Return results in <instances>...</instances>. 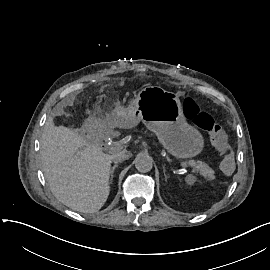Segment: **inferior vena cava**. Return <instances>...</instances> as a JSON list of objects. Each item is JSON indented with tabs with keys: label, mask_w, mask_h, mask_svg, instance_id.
I'll return each mask as SVG.
<instances>
[{
	"label": "inferior vena cava",
	"mask_w": 270,
	"mask_h": 270,
	"mask_svg": "<svg viewBox=\"0 0 270 270\" xmlns=\"http://www.w3.org/2000/svg\"><path fill=\"white\" fill-rule=\"evenodd\" d=\"M128 158H129V154L127 153L126 150H123L119 153L113 154L111 159L114 163H119L124 160H127Z\"/></svg>",
	"instance_id": "obj_1"
}]
</instances>
